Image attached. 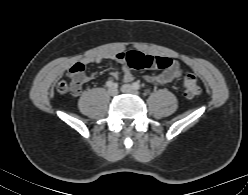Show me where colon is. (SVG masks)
<instances>
[{
  "label": "colon",
  "instance_id": "colon-1",
  "mask_svg": "<svg viewBox=\"0 0 248 195\" xmlns=\"http://www.w3.org/2000/svg\"><path fill=\"white\" fill-rule=\"evenodd\" d=\"M119 58H122L125 65L132 69L158 68L167 69L172 65V60L164 56H153L137 51L123 53ZM84 69L82 67L75 68L68 73V77L62 80L57 85V90L61 94H77L81 91ZM184 95L187 99L196 98L201 88L197 77L194 74H187L183 81Z\"/></svg>",
  "mask_w": 248,
  "mask_h": 195
}]
</instances>
